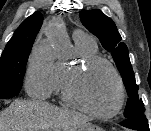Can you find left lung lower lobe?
Instances as JSON below:
<instances>
[{
	"label": "left lung lower lobe",
	"mask_w": 151,
	"mask_h": 131,
	"mask_svg": "<svg viewBox=\"0 0 151 131\" xmlns=\"http://www.w3.org/2000/svg\"><path fill=\"white\" fill-rule=\"evenodd\" d=\"M120 125L137 131H150L148 121L144 115L128 118Z\"/></svg>",
	"instance_id": "1"
}]
</instances>
